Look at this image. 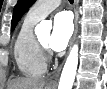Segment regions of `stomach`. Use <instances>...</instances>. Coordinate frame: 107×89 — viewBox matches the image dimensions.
<instances>
[{
	"instance_id": "1",
	"label": "stomach",
	"mask_w": 107,
	"mask_h": 89,
	"mask_svg": "<svg viewBox=\"0 0 107 89\" xmlns=\"http://www.w3.org/2000/svg\"><path fill=\"white\" fill-rule=\"evenodd\" d=\"M45 89H53L51 86H46Z\"/></svg>"
}]
</instances>
